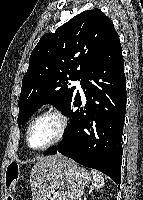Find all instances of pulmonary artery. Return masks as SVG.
Listing matches in <instances>:
<instances>
[{"instance_id":"pulmonary-artery-1","label":"pulmonary artery","mask_w":143,"mask_h":200,"mask_svg":"<svg viewBox=\"0 0 143 200\" xmlns=\"http://www.w3.org/2000/svg\"><path fill=\"white\" fill-rule=\"evenodd\" d=\"M75 85H76L77 90L80 92V94L83 95V89H82V86H81V80H77L75 82Z\"/></svg>"}]
</instances>
